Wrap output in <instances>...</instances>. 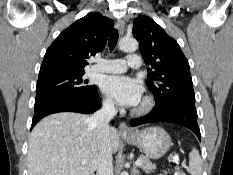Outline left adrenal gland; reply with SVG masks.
Here are the masks:
<instances>
[{
    "instance_id": "1",
    "label": "left adrenal gland",
    "mask_w": 233,
    "mask_h": 175,
    "mask_svg": "<svg viewBox=\"0 0 233 175\" xmlns=\"http://www.w3.org/2000/svg\"><path fill=\"white\" fill-rule=\"evenodd\" d=\"M133 174L134 175H141L140 171L138 170V168L136 166H133Z\"/></svg>"
}]
</instances>
